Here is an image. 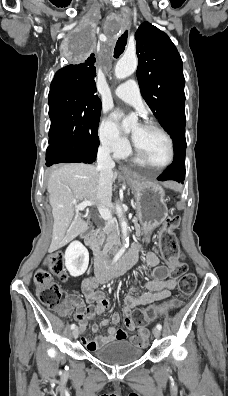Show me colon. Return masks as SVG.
<instances>
[{"mask_svg": "<svg viewBox=\"0 0 228 396\" xmlns=\"http://www.w3.org/2000/svg\"><path fill=\"white\" fill-rule=\"evenodd\" d=\"M180 219L177 215L168 216L161 228L159 241L164 258L169 262L170 273L173 278L178 279L179 292L183 297L190 296L197 285V278L194 273L188 272L186 263L179 260L180 251L178 249L174 231L179 226ZM45 268L38 269L34 274V285L36 294L40 302L46 307L65 313L67 310L77 305V300L68 295H63L59 285L53 280L49 271L56 274L61 280L67 279L65 269V259L61 252L49 254L44 261ZM49 270V271H48ZM180 302L173 299L162 308L147 307L135 309L131 313V321L138 327H144L155 316L164 310L177 308Z\"/></svg>", "mask_w": 228, "mask_h": 396, "instance_id": "1", "label": "colon"}]
</instances>
